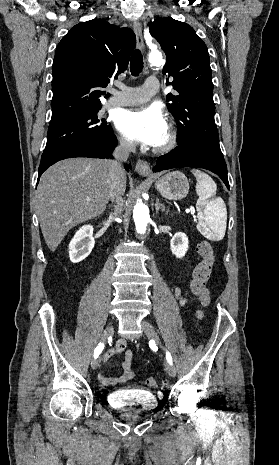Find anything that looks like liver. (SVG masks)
I'll use <instances>...</instances> for the list:
<instances>
[{
    "instance_id": "1",
    "label": "liver",
    "mask_w": 279,
    "mask_h": 465,
    "mask_svg": "<svg viewBox=\"0 0 279 465\" xmlns=\"http://www.w3.org/2000/svg\"><path fill=\"white\" fill-rule=\"evenodd\" d=\"M107 160L70 158L48 168L36 191V211L43 237L54 252L68 231L102 214L109 200ZM126 189V174L120 177ZM91 200L88 201L86 198Z\"/></svg>"
}]
</instances>
